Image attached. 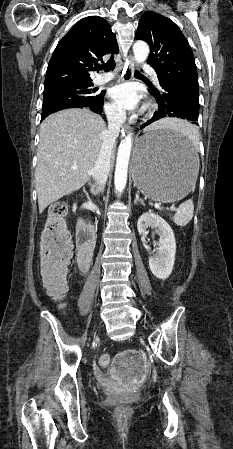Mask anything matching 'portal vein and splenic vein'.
I'll return each instance as SVG.
<instances>
[{
    "label": "portal vein and splenic vein",
    "instance_id": "18ae733b",
    "mask_svg": "<svg viewBox=\"0 0 233 449\" xmlns=\"http://www.w3.org/2000/svg\"><path fill=\"white\" fill-rule=\"evenodd\" d=\"M73 168H77V166H73ZM168 211H176V212H178V210L175 209V208L172 207V206L168 208Z\"/></svg>",
    "mask_w": 233,
    "mask_h": 449
}]
</instances>
